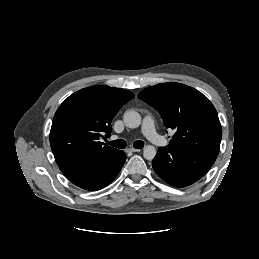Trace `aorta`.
I'll use <instances>...</instances> for the list:
<instances>
[{
    "label": "aorta",
    "mask_w": 259,
    "mask_h": 259,
    "mask_svg": "<svg viewBox=\"0 0 259 259\" xmlns=\"http://www.w3.org/2000/svg\"><path fill=\"white\" fill-rule=\"evenodd\" d=\"M124 124L128 128H137L141 124V115L134 110H129L124 113L123 116ZM156 155V149L152 145H146L143 150V156L147 160H152Z\"/></svg>",
    "instance_id": "aorta-1"
}]
</instances>
